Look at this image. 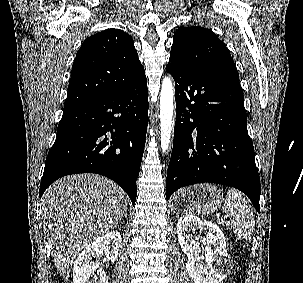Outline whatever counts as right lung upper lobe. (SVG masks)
Segmentation results:
<instances>
[{
  "instance_id": "right-lung-upper-lobe-1",
  "label": "right lung upper lobe",
  "mask_w": 303,
  "mask_h": 283,
  "mask_svg": "<svg viewBox=\"0 0 303 283\" xmlns=\"http://www.w3.org/2000/svg\"><path fill=\"white\" fill-rule=\"evenodd\" d=\"M145 78L129 34L115 28L98 32L76 54L64 110L124 91Z\"/></svg>"
}]
</instances>
